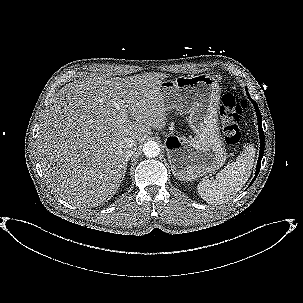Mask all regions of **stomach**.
Segmentation results:
<instances>
[{
    "label": "stomach",
    "instance_id": "stomach-1",
    "mask_svg": "<svg viewBox=\"0 0 303 303\" xmlns=\"http://www.w3.org/2000/svg\"><path fill=\"white\" fill-rule=\"evenodd\" d=\"M166 110L188 114L194 137H169L168 159L173 175L179 180H193L219 169L227 158L220 136L218 109L221 89L210 74L179 76L160 84Z\"/></svg>",
    "mask_w": 303,
    "mask_h": 303
}]
</instances>
